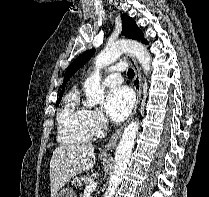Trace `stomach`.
<instances>
[{
  "mask_svg": "<svg viewBox=\"0 0 209 197\" xmlns=\"http://www.w3.org/2000/svg\"><path fill=\"white\" fill-rule=\"evenodd\" d=\"M55 197H76V194L70 188H64L59 190Z\"/></svg>",
  "mask_w": 209,
  "mask_h": 197,
  "instance_id": "obj_1",
  "label": "stomach"
}]
</instances>
